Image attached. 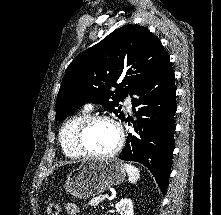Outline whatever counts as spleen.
Masks as SVG:
<instances>
[{"label":"spleen","instance_id":"1","mask_svg":"<svg viewBox=\"0 0 221 215\" xmlns=\"http://www.w3.org/2000/svg\"><path fill=\"white\" fill-rule=\"evenodd\" d=\"M124 169L128 174V180L130 183H135L139 179V170L131 164H124Z\"/></svg>","mask_w":221,"mask_h":215}]
</instances>
